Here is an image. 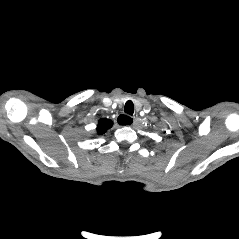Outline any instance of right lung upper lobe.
I'll return each mask as SVG.
<instances>
[{
  "label": "right lung upper lobe",
  "mask_w": 239,
  "mask_h": 239,
  "mask_svg": "<svg viewBox=\"0 0 239 239\" xmlns=\"http://www.w3.org/2000/svg\"><path fill=\"white\" fill-rule=\"evenodd\" d=\"M112 126V121L109 119H100L97 127L98 134H104Z\"/></svg>",
  "instance_id": "cb5924a9"
}]
</instances>
